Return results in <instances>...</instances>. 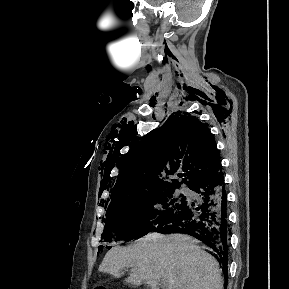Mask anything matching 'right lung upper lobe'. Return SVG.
<instances>
[{"instance_id":"right-lung-upper-lobe-1","label":"right lung upper lobe","mask_w":289,"mask_h":289,"mask_svg":"<svg viewBox=\"0 0 289 289\" xmlns=\"http://www.w3.org/2000/svg\"><path fill=\"white\" fill-rule=\"evenodd\" d=\"M181 167L185 173L178 176L183 180L170 179ZM220 170L219 152L208 127L194 116L177 113L130 149L110 205L155 190L179 188L182 183L191 188Z\"/></svg>"}]
</instances>
